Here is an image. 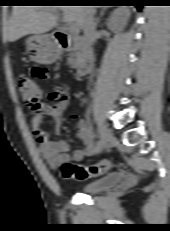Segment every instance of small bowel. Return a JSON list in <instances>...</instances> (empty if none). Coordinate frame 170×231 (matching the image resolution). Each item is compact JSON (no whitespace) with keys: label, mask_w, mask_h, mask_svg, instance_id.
Segmentation results:
<instances>
[{"label":"small bowel","mask_w":170,"mask_h":231,"mask_svg":"<svg viewBox=\"0 0 170 231\" xmlns=\"http://www.w3.org/2000/svg\"><path fill=\"white\" fill-rule=\"evenodd\" d=\"M31 77L37 80H50L48 70L42 66H34L31 69ZM50 103H41L37 110H31V128L35 140L39 144V152L45 162L51 168L60 167L63 163L71 161H81L86 156L96 153L98 143L95 142L93 135L83 120L77 123L78 136L82 139L84 147L69 152V145L60 139H49L48 133L41 128L45 116H50L54 123V133L58 135L62 128V114L66 110L68 102L66 89L63 84L57 85L49 93Z\"/></svg>","instance_id":"c3829d8e"}]
</instances>
